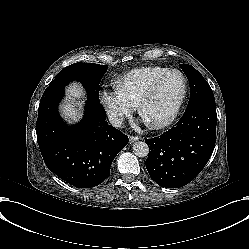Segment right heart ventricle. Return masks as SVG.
I'll use <instances>...</instances> for the list:
<instances>
[{"label":"right heart ventricle","mask_w":249,"mask_h":249,"mask_svg":"<svg viewBox=\"0 0 249 249\" xmlns=\"http://www.w3.org/2000/svg\"><path fill=\"white\" fill-rule=\"evenodd\" d=\"M166 73L161 67H143L132 70L117 86V95L130 106L140 104L152 86Z\"/></svg>","instance_id":"e07e8e85"}]
</instances>
